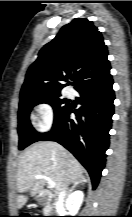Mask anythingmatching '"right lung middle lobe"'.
<instances>
[{
	"label": "right lung middle lobe",
	"mask_w": 132,
	"mask_h": 217,
	"mask_svg": "<svg viewBox=\"0 0 132 217\" xmlns=\"http://www.w3.org/2000/svg\"><path fill=\"white\" fill-rule=\"evenodd\" d=\"M61 94L26 96L20 98L18 111V134L19 149L22 150L30 144L39 141L44 135L37 133L31 126L29 115L31 109L40 103H47L53 107L54 123L58 117L68 108L69 103L66 99L60 98Z\"/></svg>",
	"instance_id": "dd1d6c3e"
}]
</instances>
